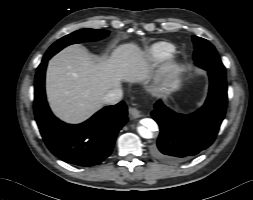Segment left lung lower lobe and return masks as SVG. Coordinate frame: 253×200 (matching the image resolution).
<instances>
[{"instance_id": "1", "label": "left lung lower lobe", "mask_w": 253, "mask_h": 200, "mask_svg": "<svg viewBox=\"0 0 253 200\" xmlns=\"http://www.w3.org/2000/svg\"><path fill=\"white\" fill-rule=\"evenodd\" d=\"M210 87L205 104L195 113L172 111L161 100L151 113L160 134L152 155L167 163H178L209 147L216 138L227 105L226 74L207 70Z\"/></svg>"}]
</instances>
